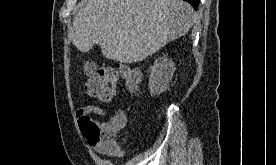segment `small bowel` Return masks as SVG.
I'll use <instances>...</instances> for the list:
<instances>
[{
	"label": "small bowel",
	"mask_w": 276,
	"mask_h": 165,
	"mask_svg": "<svg viewBox=\"0 0 276 165\" xmlns=\"http://www.w3.org/2000/svg\"><path fill=\"white\" fill-rule=\"evenodd\" d=\"M91 114H96L99 116H103L104 115V111L95 105H86L83 107H80L77 111H76V115L78 117V119L80 120L82 117L84 116H90ZM104 127H109V125L104 124ZM94 149L100 153V154H104V155H112V154H117L119 152V150L117 152H113L111 150H109L105 145H96L93 146Z\"/></svg>",
	"instance_id": "c3829d8e"
}]
</instances>
